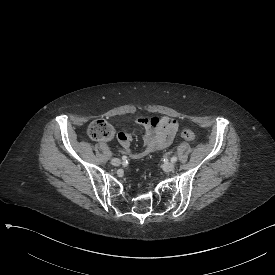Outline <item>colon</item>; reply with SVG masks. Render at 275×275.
Wrapping results in <instances>:
<instances>
[{
  "label": "colon",
  "instance_id": "obj_1",
  "mask_svg": "<svg viewBox=\"0 0 275 275\" xmlns=\"http://www.w3.org/2000/svg\"><path fill=\"white\" fill-rule=\"evenodd\" d=\"M180 134L187 141L195 140V133L188 128L181 129ZM87 135L91 140L103 141L113 135V129L107 120L98 118L88 126Z\"/></svg>",
  "mask_w": 275,
  "mask_h": 275
}]
</instances>
